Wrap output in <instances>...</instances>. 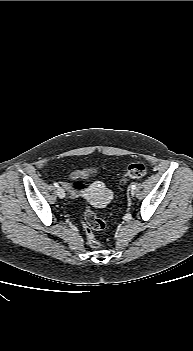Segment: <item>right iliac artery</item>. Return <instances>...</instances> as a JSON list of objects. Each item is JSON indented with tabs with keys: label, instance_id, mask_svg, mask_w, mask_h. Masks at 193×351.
<instances>
[{
	"label": "right iliac artery",
	"instance_id": "1",
	"mask_svg": "<svg viewBox=\"0 0 193 351\" xmlns=\"http://www.w3.org/2000/svg\"><path fill=\"white\" fill-rule=\"evenodd\" d=\"M54 186H55V187H59V184L56 183V182H54Z\"/></svg>",
	"mask_w": 193,
	"mask_h": 351
}]
</instances>
